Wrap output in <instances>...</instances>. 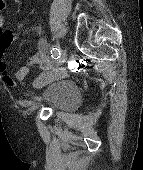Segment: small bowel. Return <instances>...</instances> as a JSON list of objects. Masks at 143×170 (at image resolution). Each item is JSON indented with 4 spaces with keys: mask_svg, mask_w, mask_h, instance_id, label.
<instances>
[{
    "mask_svg": "<svg viewBox=\"0 0 143 170\" xmlns=\"http://www.w3.org/2000/svg\"><path fill=\"white\" fill-rule=\"evenodd\" d=\"M19 1V0H14ZM4 6V2H3ZM6 16L0 13V77L3 83L9 87H14L17 83H23L29 74L30 68L37 65L41 70V74L34 81V86H40L50 80V73L52 72V61L47 55V41L44 38H39L37 41V51L30 57L27 64L22 66L14 76L9 75L7 65L4 60V52L14 41L12 32L6 30ZM35 32H40V28L35 27ZM61 74H65V70H60Z\"/></svg>",
    "mask_w": 143,
    "mask_h": 170,
    "instance_id": "obj_1",
    "label": "small bowel"
}]
</instances>
